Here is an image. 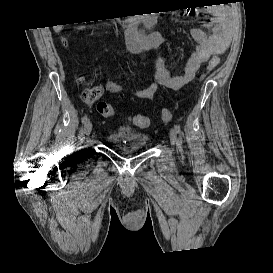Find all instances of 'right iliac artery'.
<instances>
[{"instance_id": "1", "label": "right iliac artery", "mask_w": 273, "mask_h": 273, "mask_svg": "<svg viewBox=\"0 0 273 273\" xmlns=\"http://www.w3.org/2000/svg\"><path fill=\"white\" fill-rule=\"evenodd\" d=\"M88 121V116L84 115L82 118V123L85 124Z\"/></svg>"}]
</instances>
